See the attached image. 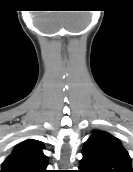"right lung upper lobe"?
I'll return each instance as SVG.
<instances>
[{
    "label": "right lung upper lobe",
    "instance_id": "obj_1",
    "mask_svg": "<svg viewBox=\"0 0 133 172\" xmlns=\"http://www.w3.org/2000/svg\"><path fill=\"white\" fill-rule=\"evenodd\" d=\"M41 141L28 139L17 145L5 159L0 172H47L48 158Z\"/></svg>",
    "mask_w": 133,
    "mask_h": 172
}]
</instances>
